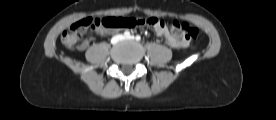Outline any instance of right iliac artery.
<instances>
[{
	"label": "right iliac artery",
	"instance_id": "obj_1",
	"mask_svg": "<svg viewBox=\"0 0 276 120\" xmlns=\"http://www.w3.org/2000/svg\"><path fill=\"white\" fill-rule=\"evenodd\" d=\"M124 36H125L126 38L130 37V32H129V31H125V32H124Z\"/></svg>",
	"mask_w": 276,
	"mask_h": 120
}]
</instances>
